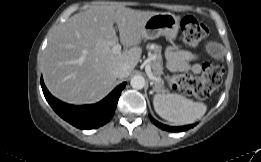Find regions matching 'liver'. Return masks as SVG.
Instances as JSON below:
<instances>
[{"mask_svg": "<svg viewBox=\"0 0 261 162\" xmlns=\"http://www.w3.org/2000/svg\"><path fill=\"white\" fill-rule=\"evenodd\" d=\"M159 12L133 10L113 5L93 6L71 16L50 37L42 60L49 91L72 104L95 103L114 87L116 66L127 64L132 72L140 61L143 25ZM119 30L120 42L130 47L113 53Z\"/></svg>", "mask_w": 261, "mask_h": 162, "instance_id": "1", "label": "liver"}]
</instances>
